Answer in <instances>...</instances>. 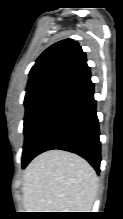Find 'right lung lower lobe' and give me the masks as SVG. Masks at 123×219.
Instances as JSON below:
<instances>
[{"instance_id": "98d812e1", "label": "right lung lower lobe", "mask_w": 123, "mask_h": 219, "mask_svg": "<svg viewBox=\"0 0 123 219\" xmlns=\"http://www.w3.org/2000/svg\"><path fill=\"white\" fill-rule=\"evenodd\" d=\"M99 135L94 84L87 70L70 81L48 112L32 145L29 162L44 151L60 149L85 158L99 173Z\"/></svg>"}]
</instances>
